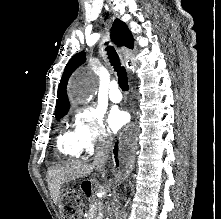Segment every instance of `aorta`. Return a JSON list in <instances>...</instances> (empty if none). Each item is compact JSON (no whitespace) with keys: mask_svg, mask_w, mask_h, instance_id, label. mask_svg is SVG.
<instances>
[{"mask_svg":"<svg viewBox=\"0 0 221 219\" xmlns=\"http://www.w3.org/2000/svg\"><path fill=\"white\" fill-rule=\"evenodd\" d=\"M95 79L89 74H79L73 81L71 94L77 100L87 101L95 92Z\"/></svg>","mask_w":221,"mask_h":219,"instance_id":"obj_1","label":"aorta"}]
</instances>
